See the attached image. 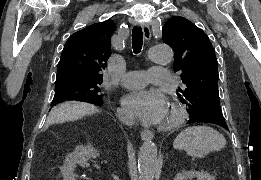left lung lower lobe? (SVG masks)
Returning a JSON list of instances; mask_svg holds the SVG:
<instances>
[{"instance_id": "left-lung-lower-lobe-1", "label": "left lung lower lobe", "mask_w": 261, "mask_h": 180, "mask_svg": "<svg viewBox=\"0 0 261 180\" xmlns=\"http://www.w3.org/2000/svg\"><path fill=\"white\" fill-rule=\"evenodd\" d=\"M200 122L213 123L228 129V126L224 118L215 117L214 115H203L202 117H190L188 121V123H200Z\"/></svg>"}]
</instances>
